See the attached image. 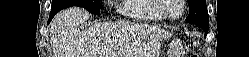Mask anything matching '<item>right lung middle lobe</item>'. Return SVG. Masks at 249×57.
<instances>
[{
    "label": "right lung middle lobe",
    "instance_id": "1",
    "mask_svg": "<svg viewBox=\"0 0 249 57\" xmlns=\"http://www.w3.org/2000/svg\"><path fill=\"white\" fill-rule=\"evenodd\" d=\"M70 6H80L92 14H100V0H52L53 10H61Z\"/></svg>",
    "mask_w": 249,
    "mask_h": 57
}]
</instances>
